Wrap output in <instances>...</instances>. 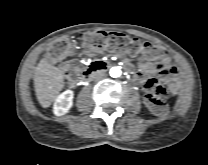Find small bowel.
<instances>
[{
	"instance_id": "c3829d8e",
	"label": "small bowel",
	"mask_w": 208,
	"mask_h": 165,
	"mask_svg": "<svg viewBox=\"0 0 208 165\" xmlns=\"http://www.w3.org/2000/svg\"><path fill=\"white\" fill-rule=\"evenodd\" d=\"M124 63L128 65L126 60ZM67 64L68 66L61 72V78L68 88L75 89L78 86L81 64L77 58H70ZM144 74L151 77H145ZM152 77H158L170 86H177L182 81V74L176 62L171 61L168 57L156 59L150 53L143 52L139 61V71L134 74V80L143 83L146 90L145 102L148 106V97L154 95L155 89L161 86L157 79Z\"/></svg>"
}]
</instances>
